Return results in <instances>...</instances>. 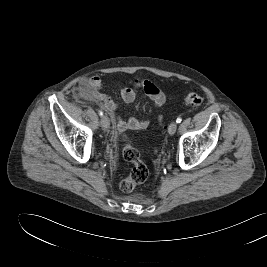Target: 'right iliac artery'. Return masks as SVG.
I'll list each match as a JSON object with an SVG mask.
<instances>
[{
  "instance_id": "obj_1",
  "label": "right iliac artery",
  "mask_w": 267,
  "mask_h": 267,
  "mask_svg": "<svg viewBox=\"0 0 267 267\" xmlns=\"http://www.w3.org/2000/svg\"><path fill=\"white\" fill-rule=\"evenodd\" d=\"M99 115H100V116H103V112H102V111H99Z\"/></svg>"
}]
</instances>
